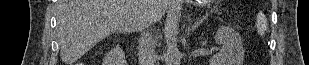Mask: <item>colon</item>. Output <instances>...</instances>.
<instances>
[{
  "label": "colon",
  "instance_id": "1",
  "mask_svg": "<svg viewBox=\"0 0 309 65\" xmlns=\"http://www.w3.org/2000/svg\"><path fill=\"white\" fill-rule=\"evenodd\" d=\"M268 28L267 17L263 13H259L256 19V30L259 35H264Z\"/></svg>",
  "mask_w": 309,
  "mask_h": 65
}]
</instances>
